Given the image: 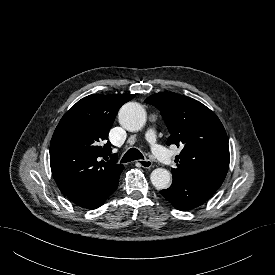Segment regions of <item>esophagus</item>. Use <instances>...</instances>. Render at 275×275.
<instances>
[{
	"mask_svg": "<svg viewBox=\"0 0 275 275\" xmlns=\"http://www.w3.org/2000/svg\"><path fill=\"white\" fill-rule=\"evenodd\" d=\"M138 164L141 167L146 168V169L151 168L153 165L152 161L149 159H140V160H138Z\"/></svg>",
	"mask_w": 275,
	"mask_h": 275,
	"instance_id": "obj_1",
	"label": "esophagus"
}]
</instances>
